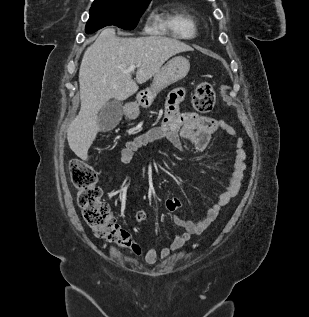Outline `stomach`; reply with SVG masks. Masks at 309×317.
<instances>
[{
    "label": "stomach",
    "mask_w": 309,
    "mask_h": 317,
    "mask_svg": "<svg viewBox=\"0 0 309 317\" xmlns=\"http://www.w3.org/2000/svg\"><path fill=\"white\" fill-rule=\"evenodd\" d=\"M190 69L189 60L183 56H176L169 60L154 76L151 86L137 94V101L125 109L129 119H136L139 107L148 108L152 105L158 93L169 85L186 77Z\"/></svg>",
    "instance_id": "stomach-1"
}]
</instances>
